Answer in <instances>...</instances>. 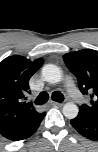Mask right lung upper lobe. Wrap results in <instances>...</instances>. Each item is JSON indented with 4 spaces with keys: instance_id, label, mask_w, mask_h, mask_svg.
<instances>
[{
    "instance_id": "obj_1",
    "label": "right lung upper lobe",
    "mask_w": 98,
    "mask_h": 152,
    "mask_svg": "<svg viewBox=\"0 0 98 152\" xmlns=\"http://www.w3.org/2000/svg\"><path fill=\"white\" fill-rule=\"evenodd\" d=\"M44 60L34 61L22 56H10L0 63V135L7 137L31 122L38 113L25 100L29 79Z\"/></svg>"
}]
</instances>
